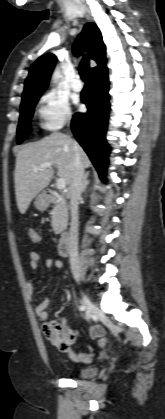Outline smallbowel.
Here are the masks:
<instances>
[{"label":"small bowel","mask_w":165,"mask_h":419,"mask_svg":"<svg viewBox=\"0 0 165 419\" xmlns=\"http://www.w3.org/2000/svg\"><path fill=\"white\" fill-rule=\"evenodd\" d=\"M39 240H40V237H39ZM39 262H40L39 254L36 251H31L29 254V266L31 270L33 271V276L28 282V286H27L28 292L30 294L34 293L33 283L36 277V272L38 270ZM45 265L48 268H57L60 270L64 269V263L61 260L55 259V258H47L45 260ZM48 305H49V299L44 298L35 307V313L42 321H45L49 318V314L47 312ZM70 331H71L70 339L67 342L56 343L54 341H51L54 348L59 352L67 353L69 357L76 362H79V363L90 362L92 359V355L90 353L78 351L75 348H73V343L75 342L76 338L81 336L80 332L74 327H71ZM100 333H101L100 328L94 327L90 331H88V333L86 334V337L92 339V338L97 337ZM103 343H104V339H101L100 345H102Z\"/></svg>","instance_id":"1"}]
</instances>
